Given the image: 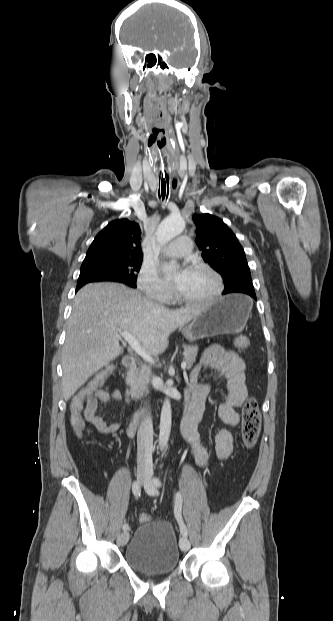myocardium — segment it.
Returning a JSON list of instances; mask_svg holds the SVG:
<instances>
[{"mask_svg":"<svg viewBox=\"0 0 333 621\" xmlns=\"http://www.w3.org/2000/svg\"><path fill=\"white\" fill-rule=\"evenodd\" d=\"M190 269L210 274L216 282V289L211 296L202 299L187 298L182 296L178 291H175L176 300L180 303L188 305H206L216 301L222 295L224 290V283L221 275L210 265L202 262L193 263Z\"/></svg>","mask_w":333,"mask_h":621,"instance_id":"1","label":"myocardium"}]
</instances>
